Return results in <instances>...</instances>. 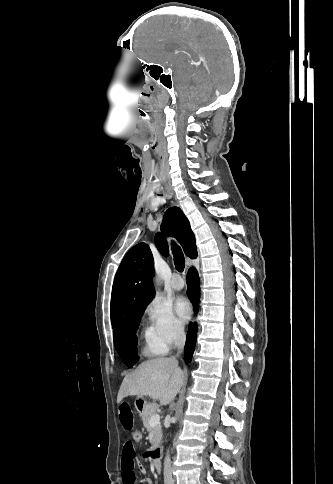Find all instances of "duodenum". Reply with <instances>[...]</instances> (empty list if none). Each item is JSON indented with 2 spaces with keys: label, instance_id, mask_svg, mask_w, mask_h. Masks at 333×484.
Instances as JSON below:
<instances>
[{
  "label": "duodenum",
  "instance_id": "410a0bca",
  "mask_svg": "<svg viewBox=\"0 0 333 484\" xmlns=\"http://www.w3.org/2000/svg\"><path fill=\"white\" fill-rule=\"evenodd\" d=\"M152 461H153V466L156 471L161 470V451L160 449H155L152 453Z\"/></svg>",
  "mask_w": 333,
  "mask_h": 484
}]
</instances>
